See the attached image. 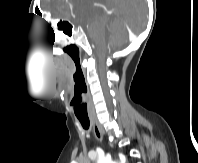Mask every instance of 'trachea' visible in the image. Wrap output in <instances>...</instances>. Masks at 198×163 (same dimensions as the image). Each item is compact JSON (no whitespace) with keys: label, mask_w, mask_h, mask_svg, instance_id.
<instances>
[{"label":"trachea","mask_w":198,"mask_h":163,"mask_svg":"<svg viewBox=\"0 0 198 163\" xmlns=\"http://www.w3.org/2000/svg\"><path fill=\"white\" fill-rule=\"evenodd\" d=\"M77 118L80 121L82 127L87 130L90 126L89 118L88 117H79V116H77Z\"/></svg>","instance_id":"1"}]
</instances>
